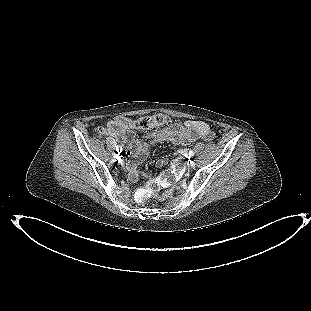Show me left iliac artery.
I'll return each mask as SVG.
<instances>
[{
    "label": "left iliac artery",
    "instance_id": "44dca946",
    "mask_svg": "<svg viewBox=\"0 0 311 311\" xmlns=\"http://www.w3.org/2000/svg\"><path fill=\"white\" fill-rule=\"evenodd\" d=\"M188 155H189V157H193L194 156V152L192 150H190Z\"/></svg>",
    "mask_w": 311,
    "mask_h": 311
}]
</instances>
